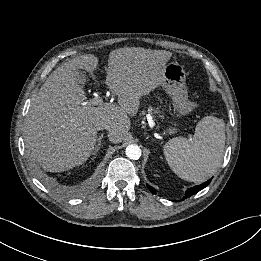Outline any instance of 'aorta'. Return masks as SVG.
Listing matches in <instances>:
<instances>
[{"label": "aorta", "instance_id": "1", "mask_svg": "<svg viewBox=\"0 0 261 261\" xmlns=\"http://www.w3.org/2000/svg\"><path fill=\"white\" fill-rule=\"evenodd\" d=\"M127 157L131 160H138L141 157V149L138 145L131 144L126 147L125 151Z\"/></svg>", "mask_w": 261, "mask_h": 261}]
</instances>
